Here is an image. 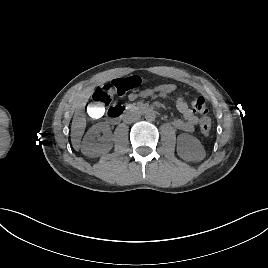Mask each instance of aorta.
<instances>
[{
	"label": "aorta",
	"mask_w": 268,
	"mask_h": 268,
	"mask_svg": "<svg viewBox=\"0 0 268 268\" xmlns=\"http://www.w3.org/2000/svg\"><path fill=\"white\" fill-rule=\"evenodd\" d=\"M155 118H156V115H155L154 112H147V113L145 114V119H146L147 121H149V122L154 121Z\"/></svg>",
	"instance_id": "762f6f07"
}]
</instances>
